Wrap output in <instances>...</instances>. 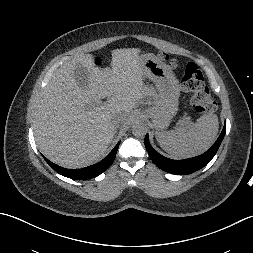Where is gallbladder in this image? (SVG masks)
Returning a JSON list of instances; mask_svg holds the SVG:
<instances>
[{"label": "gallbladder", "mask_w": 253, "mask_h": 253, "mask_svg": "<svg viewBox=\"0 0 253 253\" xmlns=\"http://www.w3.org/2000/svg\"><path fill=\"white\" fill-rule=\"evenodd\" d=\"M74 78L81 89H84L88 85V75L86 68L81 65H77L75 69Z\"/></svg>", "instance_id": "1"}]
</instances>
